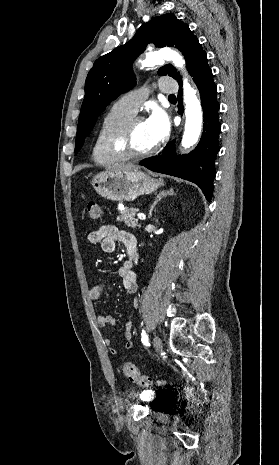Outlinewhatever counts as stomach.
<instances>
[{
    "mask_svg": "<svg viewBox=\"0 0 279 465\" xmlns=\"http://www.w3.org/2000/svg\"><path fill=\"white\" fill-rule=\"evenodd\" d=\"M91 184L100 196L121 202L133 201L140 195L151 194L163 185V181L133 169L98 173L93 177Z\"/></svg>",
    "mask_w": 279,
    "mask_h": 465,
    "instance_id": "obj_1",
    "label": "stomach"
}]
</instances>
